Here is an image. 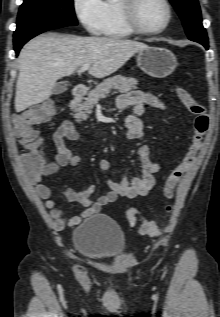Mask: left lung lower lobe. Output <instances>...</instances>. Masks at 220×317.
<instances>
[{"label":"left lung lower lobe","mask_w":220,"mask_h":317,"mask_svg":"<svg viewBox=\"0 0 220 317\" xmlns=\"http://www.w3.org/2000/svg\"><path fill=\"white\" fill-rule=\"evenodd\" d=\"M192 41L198 42V43L202 44L206 49H208V40L207 41H203V40L195 39V40H192Z\"/></svg>","instance_id":"obj_1"}]
</instances>
